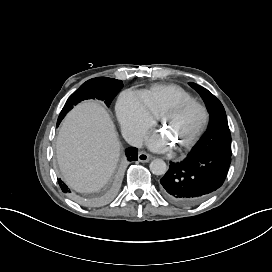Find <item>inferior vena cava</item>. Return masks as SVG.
<instances>
[{"mask_svg": "<svg viewBox=\"0 0 272 272\" xmlns=\"http://www.w3.org/2000/svg\"><path fill=\"white\" fill-rule=\"evenodd\" d=\"M129 144L141 148L143 144V137L142 136L133 137L129 140Z\"/></svg>", "mask_w": 272, "mask_h": 272, "instance_id": "1", "label": "inferior vena cava"}]
</instances>
